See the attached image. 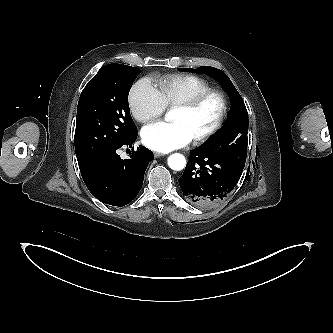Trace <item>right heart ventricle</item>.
Returning a JSON list of instances; mask_svg holds the SVG:
<instances>
[{
  "label": "right heart ventricle",
  "instance_id": "1",
  "mask_svg": "<svg viewBox=\"0 0 333 333\" xmlns=\"http://www.w3.org/2000/svg\"><path fill=\"white\" fill-rule=\"evenodd\" d=\"M212 89L203 78L195 75H169L158 82V91L166 107L173 108L194 96Z\"/></svg>",
  "mask_w": 333,
  "mask_h": 333
}]
</instances>
